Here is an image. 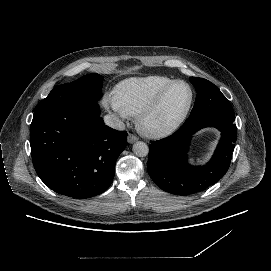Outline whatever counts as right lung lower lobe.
I'll return each instance as SVG.
<instances>
[{
  "instance_id": "98d812e1",
  "label": "right lung lower lobe",
  "mask_w": 271,
  "mask_h": 271,
  "mask_svg": "<svg viewBox=\"0 0 271 271\" xmlns=\"http://www.w3.org/2000/svg\"><path fill=\"white\" fill-rule=\"evenodd\" d=\"M127 132L103 122L94 106H63L34 115L30 145L34 168L53 191L85 199L111 185Z\"/></svg>"
}]
</instances>
